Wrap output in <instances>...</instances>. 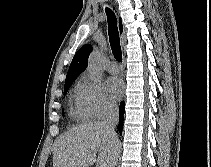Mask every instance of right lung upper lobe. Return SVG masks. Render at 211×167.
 <instances>
[{"label": "right lung upper lobe", "instance_id": "cb5924a9", "mask_svg": "<svg viewBox=\"0 0 211 167\" xmlns=\"http://www.w3.org/2000/svg\"><path fill=\"white\" fill-rule=\"evenodd\" d=\"M119 22H120L119 23L120 32H122L123 26L121 23V19L119 20ZM91 50H92V46L90 44H87L81 47L76 52L70 64L65 82L75 80V78L86 69L88 57Z\"/></svg>", "mask_w": 211, "mask_h": 167}]
</instances>
